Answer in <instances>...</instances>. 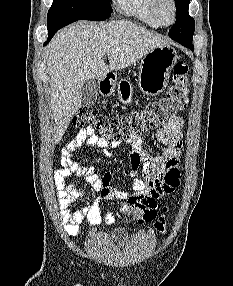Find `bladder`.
I'll use <instances>...</instances> for the list:
<instances>
[{"mask_svg":"<svg viewBox=\"0 0 233 286\" xmlns=\"http://www.w3.org/2000/svg\"><path fill=\"white\" fill-rule=\"evenodd\" d=\"M129 240V234L124 228H117L111 233V241L118 245L122 246Z\"/></svg>","mask_w":233,"mask_h":286,"instance_id":"bladder-1","label":"bladder"}]
</instances>
